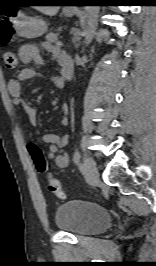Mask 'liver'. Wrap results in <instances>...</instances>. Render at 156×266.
<instances>
[{
  "mask_svg": "<svg viewBox=\"0 0 156 266\" xmlns=\"http://www.w3.org/2000/svg\"><path fill=\"white\" fill-rule=\"evenodd\" d=\"M35 9L45 15L54 16L59 11V6H36Z\"/></svg>",
  "mask_w": 156,
  "mask_h": 266,
  "instance_id": "liver-1",
  "label": "liver"
}]
</instances>
